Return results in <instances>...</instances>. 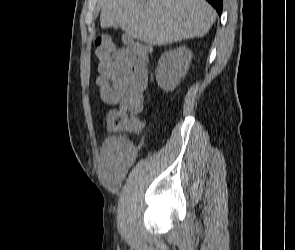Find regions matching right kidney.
Wrapping results in <instances>:
<instances>
[{
	"mask_svg": "<svg viewBox=\"0 0 295 250\" xmlns=\"http://www.w3.org/2000/svg\"><path fill=\"white\" fill-rule=\"evenodd\" d=\"M191 58L192 53L185 46L164 52L156 71L158 86L166 92L172 91L186 75Z\"/></svg>",
	"mask_w": 295,
	"mask_h": 250,
	"instance_id": "obj_1",
	"label": "right kidney"
}]
</instances>
